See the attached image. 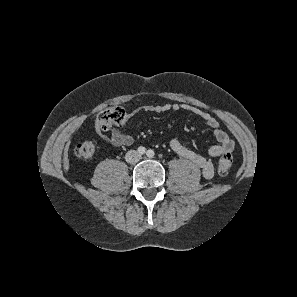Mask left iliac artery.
I'll return each instance as SVG.
<instances>
[{"instance_id":"1","label":"left iliac artery","mask_w":297,"mask_h":297,"mask_svg":"<svg viewBox=\"0 0 297 297\" xmlns=\"http://www.w3.org/2000/svg\"><path fill=\"white\" fill-rule=\"evenodd\" d=\"M147 156H148L149 158L153 157V156H154V151L151 150V149H149V150L147 151Z\"/></svg>"}]
</instances>
